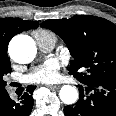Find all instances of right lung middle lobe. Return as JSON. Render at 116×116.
<instances>
[{"instance_id": "1", "label": "right lung middle lobe", "mask_w": 116, "mask_h": 116, "mask_svg": "<svg viewBox=\"0 0 116 116\" xmlns=\"http://www.w3.org/2000/svg\"><path fill=\"white\" fill-rule=\"evenodd\" d=\"M11 72V65L9 58L0 59V97H3L7 94L5 89L6 81L4 76Z\"/></svg>"}]
</instances>
